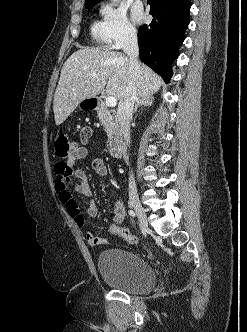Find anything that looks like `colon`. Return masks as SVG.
Segmentation results:
<instances>
[{"label": "colon", "instance_id": "5ec220e1", "mask_svg": "<svg viewBox=\"0 0 247 332\" xmlns=\"http://www.w3.org/2000/svg\"><path fill=\"white\" fill-rule=\"evenodd\" d=\"M55 153L59 158H70L77 149V143L65 133H58L54 141ZM109 230L131 244H138V239L128 229L111 225Z\"/></svg>", "mask_w": 247, "mask_h": 332}]
</instances>
